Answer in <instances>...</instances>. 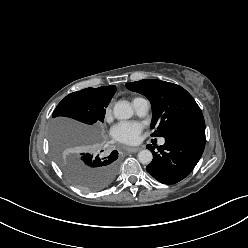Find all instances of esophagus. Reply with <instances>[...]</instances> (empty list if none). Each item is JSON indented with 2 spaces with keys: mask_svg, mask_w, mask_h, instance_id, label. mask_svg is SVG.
I'll return each mask as SVG.
<instances>
[{
  "mask_svg": "<svg viewBox=\"0 0 248 248\" xmlns=\"http://www.w3.org/2000/svg\"><path fill=\"white\" fill-rule=\"evenodd\" d=\"M126 150L130 153H136L140 150L138 147H127Z\"/></svg>",
  "mask_w": 248,
  "mask_h": 248,
  "instance_id": "obj_1",
  "label": "esophagus"
}]
</instances>
